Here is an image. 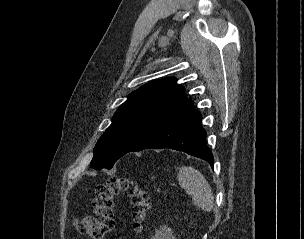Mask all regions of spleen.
Here are the masks:
<instances>
[{
  "label": "spleen",
  "instance_id": "spleen-1",
  "mask_svg": "<svg viewBox=\"0 0 304 239\" xmlns=\"http://www.w3.org/2000/svg\"><path fill=\"white\" fill-rule=\"evenodd\" d=\"M178 170L177 180L192 197V203L204 212H210L214 206V197L205 177L190 166H182Z\"/></svg>",
  "mask_w": 304,
  "mask_h": 239
}]
</instances>
